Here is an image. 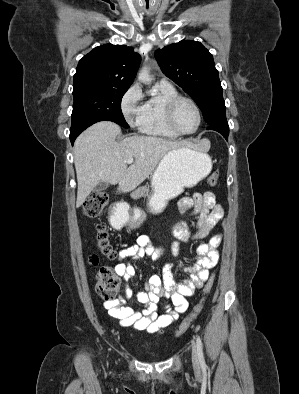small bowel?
I'll list each match as a JSON object with an SVG mask.
<instances>
[{
  "label": "small bowel",
  "mask_w": 299,
  "mask_h": 394,
  "mask_svg": "<svg viewBox=\"0 0 299 394\" xmlns=\"http://www.w3.org/2000/svg\"><path fill=\"white\" fill-rule=\"evenodd\" d=\"M177 205L183 215L194 217L195 220L192 224L180 221L173 226V235L177 239V242L172 245L174 256H178L179 242L206 238L224 214L223 208L216 203L215 194L210 191L195 193L191 197H182ZM118 212L119 207H115V213ZM221 241L222 235L218 234L211 237L209 241L199 244L195 249L196 261L184 267L188 277L180 282L176 281L169 266L165 268L162 275H152L145 284V291L135 295L136 302L144 305L142 311L125 305L126 298L132 296V290L128 286L125 289V297L104 302V308L122 327L161 334L164 328L178 319L179 314L187 310V298L193 296L195 290L203 286L209 277V270L217 265L218 247ZM162 251L163 248L152 244L148 236L139 235L135 244L124 247L118 252V257L121 260L131 261H137L143 257L156 260ZM115 271L126 282L135 275V268L131 262L117 264ZM167 297L170 298L171 303L164 301L163 307L166 313L158 315L157 303Z\"/></svg>",
  "instance_id": "obj_1"
}]
</instances>
